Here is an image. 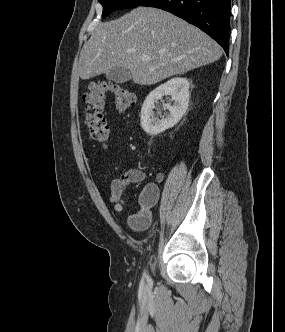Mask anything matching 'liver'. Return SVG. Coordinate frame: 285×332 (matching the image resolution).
I'll return each mask as SVG.
<instances>
[{
	"label": "liver",
	"instance_id": "6515ba94",
	"mask_svg": "<svg viewBox=\"0 0 285 332\" xmlns=\"http://www.w3.org/2000/svg\"><path fill=\"white\" fill-rule=\"evenodd\" d=\"M221 56L220 45L197 27L161 9L138 7L95 27L81 50L78 72L88 80L124 67L135 84L153 85Z\"/></svg>",
	"mask_w": 285,
	"mask_h": 332
}]
</instances>
